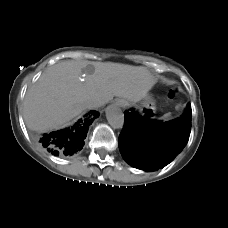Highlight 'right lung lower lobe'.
Instances as JSON below:
<instances>
[{
    "mask_svg": "<svg viewBox=\"0 0 228 228\" xmlns=\"http://www.w3.org/2000/svg\"><path fill=\"white\" fill-rule=\"evenodd\" d=\"M98 116V112L91 111L68 128L40 135L38 141L51 154L69 157L82 149L89 126Z\"/></svg>",
    "mask_w": 228,
    "mask_h": 228,
    "instance_id": "98d812e1",
    "label": "right lung lower lobe"
}]
</instances>
